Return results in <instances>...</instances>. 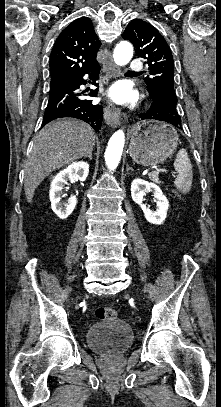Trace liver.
<instances>
[{"mask_svg": "<svg viewBox=\"0 0 221 407\" xmlns=\"http://www.w3.org/2000/svg\"><path fill=\"white\" fill-rule=\"evenodd\" d=\"M95 133L90 125L65 118L45 125L34 139L25 163L24 190L30 203L36 188L54 170L90 153Z\"/></svg>", "mask_w": 221, "mask_h": 407, "instance_id": "liver-1", "label": "liver"}]
</instances>
